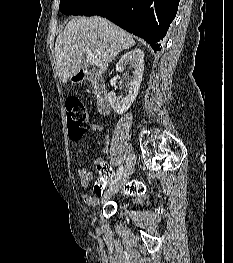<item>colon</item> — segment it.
Wrapping results in <instances>:
<instances>
[{
    "label": "colon",
    "instance_id": "5ec220e1",
    "mask_svg": "<svg viewBox=\"0 0 233 263\" xmlns=\"http://www.w3.org/2000/svg\"><path fill=\"white\" fill-rule=\"evenodd\" d=\"M66 115L69 137L74 140H80L88 129V113L83 105V103L77 98H70L66 102ZM99 178L97 179V184H93V191L95 195H111L113 192L111 190H106L105 184L109 183V180L113 179L112 171H98ZM136 178H130L129 182L132 183V190L134 187H141L143 184L137 182ZM115 194L118 192L115 191Z\"/></svg>",
    "mask_w": 233,
    "mask_h": 263
}]
</instances>
